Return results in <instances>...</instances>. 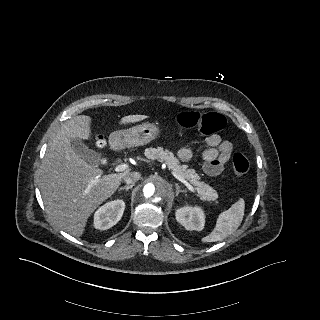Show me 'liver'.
Wrapping results in <instances>:
<instances>
[{
	"label": "liver",
	"instance_id": "liver-1",
	"mask_svg": "<svg viewBox=\"0 0 320 320\" xmlns=\"http://www.w3.org/2000/svg\"><path fill=\"white\" fill-rule=\"evenodd\" d=\"M146 115H128L120 125L135 123ZM93 119L78 115L66 121L51 139L42 163L40 191L48 215L58 227L73 236H81L87 219L121 184L130 169L102 175L103 171L88 164L73 150L70 141L88 140Z\"/></svg>",
	"mask_w": 320,
	"mask_h": 320
}]
</instances>
